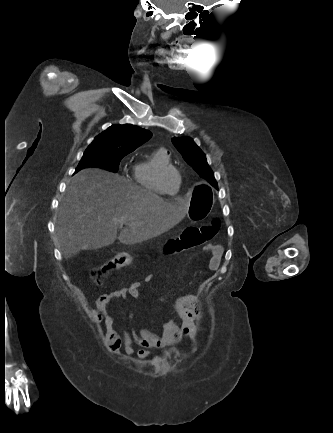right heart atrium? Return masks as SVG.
Masks as SVG:
<instances>
[{"mask_svg": "<svg viewBox=\"0 0 333 433\" xmlns=\"http://www.w3.org/2000/svg\"><path fill=\"white\" fill-rule=\"evenodd\" d=\"M130 160V156H128L127 158H125V161H129Z\"/></svg>", "mask_w": 333, "mask_h": 433, "instance_id": "obj_1", "label": "right heart atrium"}]
</instances>
